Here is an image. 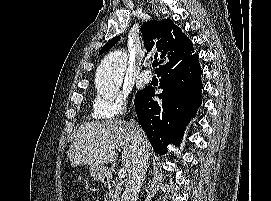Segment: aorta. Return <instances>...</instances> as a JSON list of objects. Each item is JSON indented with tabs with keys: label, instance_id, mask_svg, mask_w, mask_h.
<instances>
[{
	"label": "aorta",
	"instance_id": "1",
	"mask_svg": "<svg viewBox=\"0 0 271 201\" xmlns=\"http://www.w3.org/2000/svg\"><path fill=\"white\" fill-rule=\"evenodd\" d=\"M125 51L110 52L97 68V86L101 91H117L127 66Z\"/></svg>",
	"mask_w": 271,
	"mask_h": 201
}]
</instances>
